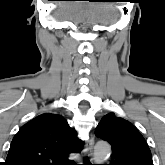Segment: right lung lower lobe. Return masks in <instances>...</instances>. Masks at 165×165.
Wrapping results in <instances>:
<instances>
[{
	"instance_id": "1",
	"label": "right lung lower lobe",
	"mask_w": 165,
	"mask_h": 165,
	"mask_svg": "<svg viewBox=\"0 0 165 165\" xmlns=\"http://www.w3.org/2000/svg\"><path fill=\"white\" fill-rule=\"evenodd\" d=\"M64 165H75V163H72V162L68 161Z\"/></svg>"
}]
</instances>
